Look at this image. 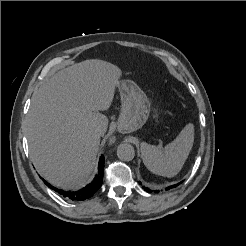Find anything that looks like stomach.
<instances>
[{"label": "stomach", "mask_w": 246, "mask_h": 246, "mask_svg": "<svg viewBox=\"0 0 246 246\" xmlns=\"http://www.w3.org/2000/svg\"><path fill=\"white\" fill-rule=\"evenodd\" d=\"M118 88L121 96L119 128L124 132L136 131L146 123L149 117V99L133 81H121Z\"/></svg>", "instance_id": "obj_1"}]
</instances>
